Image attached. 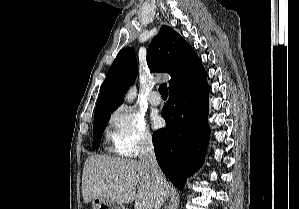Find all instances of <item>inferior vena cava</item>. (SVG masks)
<instances>
[{"mask_svg": "<svg viewBox=\"0 0 299 209\" xmlns=\"http://www.w3.org/2000/svg\"><path fill=\"white\" fill-rule=\"evenodd\" d=\"M140 160L153 178L156 187L159 189V197L154 205V209H160L165 200L163 191L164 175L158 166L153 142L149 137L144 138L141 142Z\"/></svg>", "mask_w": 299, "mask_h": 209, "instance_id": "inferior-vena-cava-1", "label": "inferior vena cava"}]
</instances>
